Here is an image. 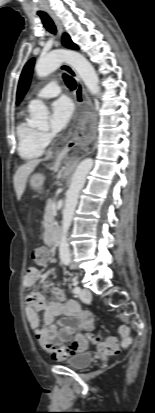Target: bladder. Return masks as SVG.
Instances as JSON below:
<instances>
[{
    "mask_svg": "<svg viewBox=\"0 0 155 413\" xmlns=\"http://www.w3.org/2000/svg\"><path fill=\"white\" fill-rule=\"evenodd\" d=\"M94 362V357L90 353H79L71 356L66 364L75 370H85Z\"/></svg>",
    "mask_w": 155,
    "mask_h": 413,
    "instance_id": "1",
    "label": "bladder"
}]
</instances>
